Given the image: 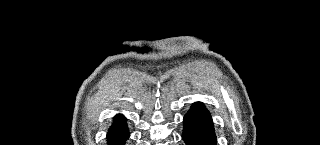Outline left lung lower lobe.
Instances as JSON below:
<instances>
[{"label": "left lung lower lobe", "instance_id": "left-lung-lower-lobe-1", "mask_svg": "<svg viewBox=\"0 0 320 145\" xmlns=\"http://www.w3.org/2000/svg\"><path fill=\"white\" fill-rule=\"evenodd\" d=\"M182 138L186 145H216L211 115L201 103H194L183 119Z\"/></svg>", "mask_w": 320, "mask_h": 145}]
</instances>
